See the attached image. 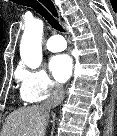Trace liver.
I'll list each match as a JSON object with an SVG mask.
<instances>
[{"label":"liver","mask_w":117,"mask_h":136,"mask_svg":"<svg viewBox=\"0 0 117 136\" xmlns=\"http://www.w3.org/2000/svg\"><path fill=\"white\" fill-rule=\"evenodd\" d=\"M49 113L33 105L13 111L6 118L2 136H44Z\"/></svg>","instance_id":"liver-1"}]
</instances>
